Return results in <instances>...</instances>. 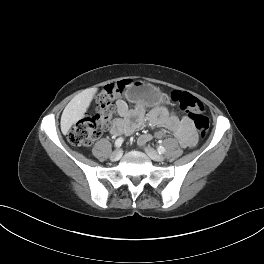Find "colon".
<instances>
[{"label": "colon", "instance_id": "obj_1", "mask_svg": "<svg viewBox=\"0 0 264 264\" xmlns=\"http://www.w3.org/2000/svg\"><path fill=\"white\" fill-rule=\"evenodd\" d=\"M125 86V82L111 84L98 94L96 113L85 115L70 129L68 140L71 144L88 146L100 135L101 128L110 122L115 112L112 98L122 95ZM172 100L188 114L200 136H205L209 128V119L204 114L201 101L192 94L182 91H174Z\"/></svg>", "mask_w": 264, "mask_h": 264}]
</instances>
